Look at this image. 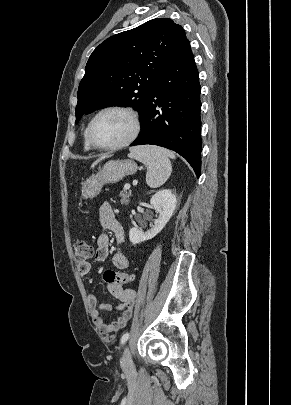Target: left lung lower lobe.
I'll return each mask as SVG.
<instances>
[{
  "instance_id": "0a47b994",
  "label": "left lung lower lobe",
  "mask_w": 291,
  "mask_h": 405,
  "mask_svg": "<svg viewBox=\"0 0 291 405\" xmlns=\"http://www.w3.org/2000/svg\"><path fill=\"white\" fill-rule=\"evenodd\" d=\"M199 73L189 40L154 82L141 120L143 132L131 144H152L173 150L201 169Z\"/></svg>"
}]
</instances>
